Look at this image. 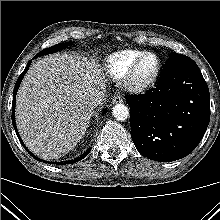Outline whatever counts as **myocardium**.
<instances>
[{"label":"myocardium","mask_w":220,"mask_h":220,"mask_svg":"<svg viewBox=\"0 0 220 220\" xmlns=\"http://www.w3.org/2000/svg\"><path fill=\"white\" fill-rule=\"evenodd\" d=\"M147 57H153L155 59V67L151 74H149L145 78H140L138 76V70L141 63ZM161 64L159 57L153 52H145L140 57H138L134 63L131 65L129 70L124 76L123 85L125 89L131 93H142L151 87L156 81L159 72H160Z\"/></svg>","instance_id":"myocardium-1"}]
</instances>
